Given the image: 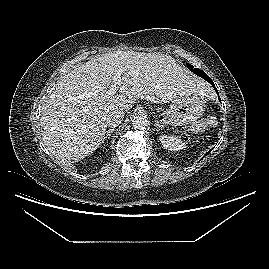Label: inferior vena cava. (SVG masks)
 Returning <instances> with one entry per match:
<instances>
[{"label":"inferior vena cava","mask_w":269,"mask_h":269,"mask_svg":"<svg viewBox=\"0 0 269 269\" xmlns=\"http://www.w3.org/2000/svg\"><path fill=\"white\" fill-rule=\"evenodd\" d=\"M123 117H124V111L114 110L107 115L105 121L109 127L114 128L119 124H121Z\"/></svg>","instance_id":"1"}]
</instances>
